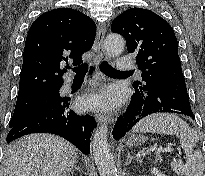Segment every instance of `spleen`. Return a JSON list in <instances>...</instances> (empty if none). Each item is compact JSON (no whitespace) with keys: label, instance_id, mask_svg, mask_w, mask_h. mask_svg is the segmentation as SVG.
Segmentation results:
<instances>
[{"label":"spleen","instance_id":"obj_1","mask_svg":"<svg viewBox=\"0 0 205 176\" xmlns=\"http://www.w3.org/2000/svg\"><path fill=\"white\" fill-rule=\"evenodd\" d=\"M132 131L176 135L187 157L183 170L185 176H203L205 164L202 153L193 149L199 141V136L177 115L167 113L149 115L139 121Z\"/></svg>","mask_w":205,"mask_h":176}]
</instances>
